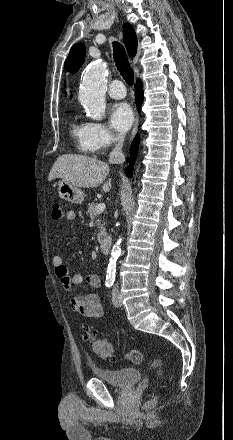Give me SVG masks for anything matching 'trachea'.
<instances>
[{"label":"trachea","mask_w":233,"mask_h":440,"mask_svg":"<svg viewBox=\"0 0 233 440\" xmlns=\"http://www.w3.org/2000/svg\"><path fill=\"white\" fill-rule=\"evenodd\" d=\"M113 50L114 61L116 63L117 69L119 70L121 76L126 81V83L132 86L134 82V73L129 64L124 47L118 42H114Z\"/></svg>","instance_id":"1"}]
</instances>
